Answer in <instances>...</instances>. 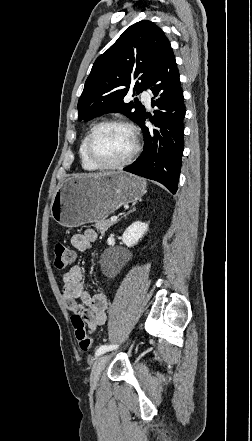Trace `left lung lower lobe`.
Segmentation results:
<instances>
[{
    "mask_svg": "<svg viewBox=\"0 0 252 441\" xmlns=\"http://www.w3.org/2000/svg\"><path fill=\"white\" fill-rule=\"evenodd\" d=\"M154 98L151 105L157 106L154 111V125L161 128L160 136L154 130V137L145 126L148 117L139 124L144 136V150L141 156L125 171L162 183L173 194L178 188L181 158L184 147L183 119L185 105L180 86L179 72L169 41L166 42L157 59L154 75L149 84ZM159 139V145H157ZM153 141V143H152Z\"/></svg>",
    "mask_w": 252,
    "mask_h": 441,
    "instance_id": "1",
    "label": "left lung lower lobe"
}]
</instances>
